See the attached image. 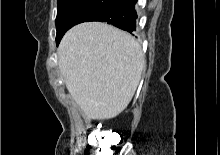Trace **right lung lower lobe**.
<instances>
[{"mask_svg": "<svg viewBox=\"0 0 220 155\" xmlns=\"http://www.w3.org/2000/svg\"><path fill=\"white\" fill-rule=\"evenodd\" d=\"M136 2L137 0H122L119 4L92 16L87 21L106 22L132 32L136 29L137 15L134 10Z\"/></svg>", "mask_w": 220, "mask_h": 155, "instance_id": "98d812e1", "label": "right lung lower lobe"}]
</instances>
